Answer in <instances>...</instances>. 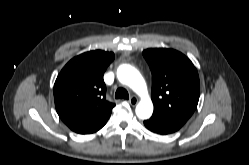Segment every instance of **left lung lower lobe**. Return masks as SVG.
<instances>
[{"mask_svg":"<svg viewBox=\"0 0 249 165\" xmlns=\"http://www.w3.org/2000/svg\"><path fill=\"white\" fill-rule=\"evenodd\" d=\"M185 123L161 116L152 115L149 120L144 121L146 128L152 132L166 135L179 130Z\"/></svg>","mask_w":249,"mask_h":165,"instance_id":"left-lung-lower-lobe-1","label":"left lung lower lobe"}]
</instances>
